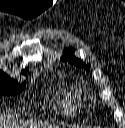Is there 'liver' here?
Wrapping results in <instances>:
<instances>
[{
	"label": "liver",
	"mask_w": 125,
	"mask_h": 128,
	"mask_svg": "<svg viewBox=\"0 0 125 128\" xmlns=\"http://www.w3.org/2000/svg\"><path fill=\"white\" fill-rule=\"evenodd\" d=\"M40 126H41V127H44V128H58L57 126L48 125V124H47V125H46V124H45V125H44V124H41ZM1 127L3 128V124H2V123H0V128H1Z\"/></svg>",
	"instance_id": "liver-1"
}]
</instances>
